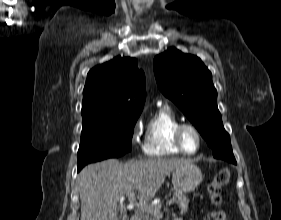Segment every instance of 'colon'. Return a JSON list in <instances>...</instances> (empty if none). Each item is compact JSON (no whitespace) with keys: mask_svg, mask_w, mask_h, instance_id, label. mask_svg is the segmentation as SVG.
<instances>
[{"mask_svg":"<svg viewBox=\"0 0 281 220\" xmlns=\"http://www.w3.org/2000/svg\"><path fill=\"white\" fill-rule=\"evenodd\" d=\"M230 181V171L228 168H222L213 178L208 187L211 202L216 209L209 212L204 220H226V214L222 208V188Z\"/></svg>","mask_w":281,"mask_h":220,"instance_id":"colon-1","label":"colon"}]
</instances>
